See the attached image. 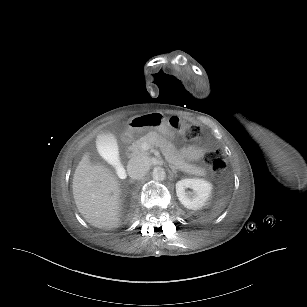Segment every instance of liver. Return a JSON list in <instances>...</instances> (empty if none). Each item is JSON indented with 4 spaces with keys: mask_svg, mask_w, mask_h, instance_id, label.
<instances>
[{
    "mask_svg": "<svg viewBox=\"0 0 307 307\" xmlns=\"http://www.w3.org/2000/svg\"><path fill=\"white\" fill-rule=\"evenodd\" d=\"M72 188L76 207L86 222L98 228L120 224L122 190L110 168L92 163L85 154L75 170Z\"/></svg>",
    "mask_w": 307,
    "mask_h": 307,
    "instance_id": "liver-1",
    "label": "liver"
}]
</instances>
